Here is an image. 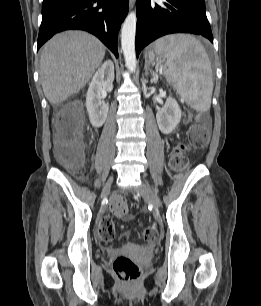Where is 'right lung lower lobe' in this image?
<instances>
[{"mask_svg": "<svg viewBox=\"0 0 261 306\" xmlns=\"http://www.w3.org/2000/svg\"><path fill=\"white\" fill-rule=\"evenodd\" d=\"M129 0H43L38 49L54 34L82 29L97 36L118 57L117 37Z\"/></svg>", "mask_w": 261, "mask_h": 306, "instance_id": "obj_1", "label": "right lung lower lobe"}]
</instances>
